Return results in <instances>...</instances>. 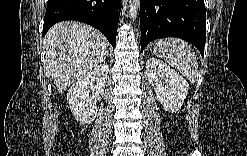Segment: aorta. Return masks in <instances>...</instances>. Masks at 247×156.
I'll list each match as a JSON object with an SVG mask.
<instances>
[{
    "mask_svg": "<svg viewBox=\"0 0 247 156\" xmlns=\"http://www.w3.org/2000/svg\"><path fill=\"white\" fill-rule=\"evenodd\" d=\"M139 7H140V0L129 1V16L130 19H132L133 21L137 17Z\"/></svg>",
    "mask_w": 247,
    "mask_h": 156,
    "instance_id": "1",
    "label": "aorta"
}]
</instances>
